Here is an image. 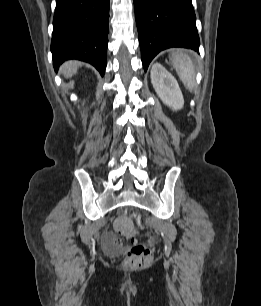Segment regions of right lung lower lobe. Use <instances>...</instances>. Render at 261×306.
<instances>
[{
	"mask_svg": "<svg viewBox=\"0 0 261 306\" xmlns=\"http://www.w3.org/2000/svg\"><path fill=\"white\" fill-rule=\"evenodd\" d=\"M110 0H56L51 52L53 65L78 59L106 68Z\"/></svg>",
	"mask_w": 261,
	"mask_h": 306,
	"instance_id": "obj_1",
	"label": "right lung lower lobe"
}]
</instances>
